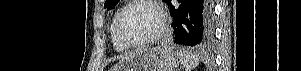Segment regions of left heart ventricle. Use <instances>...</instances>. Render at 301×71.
<instances>
[{
  "label": "left heart ventricle",
  "instance_id": "b2bd125f",
  "mask_svg": "<svg viewBox=\"0 0 301 71\" xmlns=\"http://www.w3.org/2000/svg\"><path fill=\"white\" fill-rule=\"evenodd\" d=\"M159 25L157 12L148 5L138 4L126 10L121 30L126 40L137 42L156 33Z\"/></svg>",
  "mask_w": 301,
  "mask_h": 71
}]
</instances>
